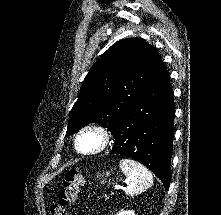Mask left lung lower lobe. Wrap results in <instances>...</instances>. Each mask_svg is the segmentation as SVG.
Wrapping results in <instances>:
<instances>
[{
	"mask_svg": "<svg viewBox=\"0 0 221 215\" xmlns=\"http://www.w3.org/2000/svg\"><path fill=\"white\" fill-rule=\"evenodd\" d=\"M169 74L163 65L125 112L113 131L110 154L131 157L148 167L168 190L175 107Z\"/></svg>",
	"mask_w": 221,
	"mask_h": 215,
	"instance_id": "obj_1",
	"label": "left lung lower lobe"
}]
</instances>
